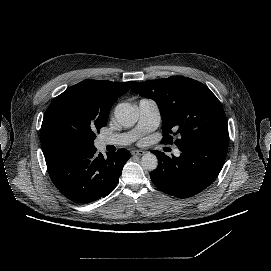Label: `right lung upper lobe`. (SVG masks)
Wrapping results in <instances>:
<instances>
[{"instance_id": "right-lung-upper-lobe-1", "label": "right lung upper lobe", "mask_w": 271, "mask_h": 271, "mask_svg": "<svg viewBox=\"0 0 271 271\" xmlns=\"http://www.w3.org/2000/svg\"><path fill=\"white\" fill-rule=\"evenodd\" d=\"M133 84V81L84 80L68 88L56 98L71 97L78 103L79 109L83 114L94 121L107 123L111 106Z\"/></svg>"}]
</instances>
